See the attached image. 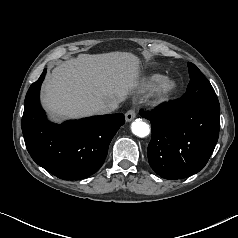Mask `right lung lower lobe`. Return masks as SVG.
<instances>
[{
    "label": "right lung lower lobe",
    "mask_w": 238,
    "mask_h": 238,
    "mask_svg": "<svg viewBox=\"0 0 238 238\" xmlns=\"http://www.w3.org/2000/svg\"><path fill=\"white\" fill-rule=\"evenodd\" d=\"M46 69L25 97L22 131L32 159L64 180H79L94 174L103 164L109 144L125 123L121 113L94 116L62 125L47 121L39 102Z\"/></svg>",
    "instance_id": "1"
}]
</instances>
